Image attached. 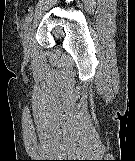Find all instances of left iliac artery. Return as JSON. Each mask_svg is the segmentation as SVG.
Listing matches in <instances>:
<instances>
[{
  "label": "left iliac artery",
  "mask_w": 135,
  "mask_h": 161,
  "mask_svg": "<svg viewBox=\"0 0 135 161\" xmlns=\"http://www.w3.org/2000/svg\"><path fill=\"white\" fill-rule=\"evenodd\" d=\"M32 19H33V11L30 12V13L26 16L25 21H24V25H23V28H24V29H27V28H28V25H29V23L32 21Z\"/></svg>",
  "instance_id": "left-iliac-artery-1"
}]
</instances>
